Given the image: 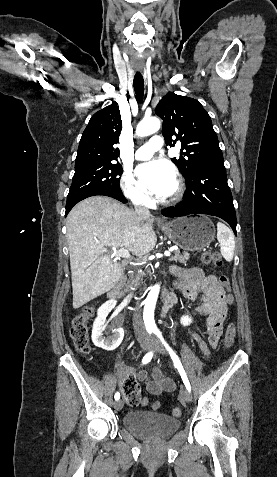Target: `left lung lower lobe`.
Segmentation results:
<instances>
[{"label": "left lung lower lobe", "mask_w": 277, "mask_h": 477, "mask_svg": "<svg viewBox=\"0 0 277 477\" xmlns=\"http://www.w3.org/2000/svg\"><path fill=\"white\" fill-rule=\"evenodd\" d=\"M185 200L180 205L165 209L166 217L208 214L222 218L236 235V213L233 198L227 183L223 158L201 162L194 173L186 179Z\"/></svg>", "instance_id": "obj_1"}]
</instances>
